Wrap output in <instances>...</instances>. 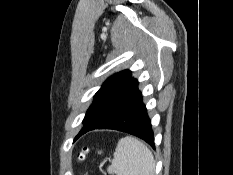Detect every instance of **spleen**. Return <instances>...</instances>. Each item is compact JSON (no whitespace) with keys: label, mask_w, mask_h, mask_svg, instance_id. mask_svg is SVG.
<instances>
[{"label":"spleen","mask_w":233,"mask_h":175,"mask_svg":"<svg viewBox=\"0 0 233 175\" xmlns=\"http://www.w3.org/2000/svg\"><path fill=\"white\" fill-rule=\"evenodd\" d=\"M155 160L152 152L133 137L119 140L114 152L110 174L116 175H154Z\"/></svg>","instance_id":"3e777b00"}]
</instances>
